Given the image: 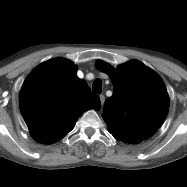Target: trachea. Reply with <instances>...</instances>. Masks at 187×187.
I'll list each match as a JSON object with an SVG mask.
<instances>
[{"label": "trachea", "mask_w": 187, "mask_h": 187, "mask_svg": "<svg viewBox=\"0 0 187 187\" xmlns=\"http://www.w3.org/2000/svg\"><path fill=\"white\" fill-rule=\"evenodd\" d=\"M101 92H102V81L97 78L93 82V93L100 94Z\"/></svg>", "instance_id": "1"}]
</instances>
